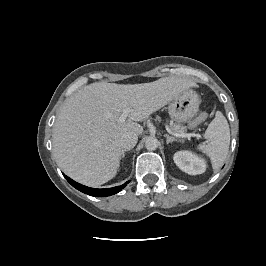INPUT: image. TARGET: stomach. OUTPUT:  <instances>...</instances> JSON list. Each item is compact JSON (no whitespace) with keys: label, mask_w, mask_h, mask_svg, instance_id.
Masks as SVG:
<instances>
[{"label":"stomach","mask_w":266,"mask_h":266,"mask_svg":"<svg viewBox=\"0 0 266 266\" xmlns=\"http://www.w3.org/2000/svg\"><path fill=\"white\" fill-rule=\"evenodd\" d=\"M200 102L198 94L191 89H187L169 104V115L179 123L187 122V120L197 115Z\"/></svg>","instance_id":"obj_1"}]
</instances>
